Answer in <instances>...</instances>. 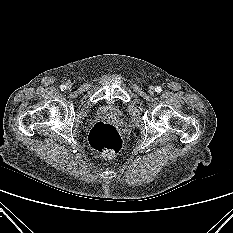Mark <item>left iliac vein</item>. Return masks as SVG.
Listing matches in <instances>:
<instances>
[{
    "label": "left iliac vein",
    "instance_id": "obj_1",
    "mask_svg": "<svg viewBox=\"0 0 233 233\" xmlns=\"http://www.w3.org/2000/svg\"><path fill=\"white\" fill-rule=\"evenodd\" d=\"M154 92H155V88H154V87H152V86H151V87H149V93H150V94H153Z\"/></svg>",
    "mask_w": 233,
    "mask_h": 233
}]
</instances>
